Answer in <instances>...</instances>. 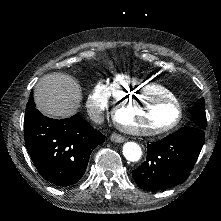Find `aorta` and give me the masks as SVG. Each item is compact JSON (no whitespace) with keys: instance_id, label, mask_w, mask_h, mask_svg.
Listing matches in <instances>:
<instances>
[{"instance_id":"762f6f07","label":"aorta","mask_w":221,"mask_h":221,"mask_svg":"<svg viewBox=\"0 0 221 221\" xmlns=\"http://www.w3.org/2000/svg\"><path fill=\"white\" fill-rule=\"evenodd\" d=\"M123 155L126 160L136 162L140 160L142 156L141 147L135 142H127L123 146Z\"/></svg>"}]
</instances>
